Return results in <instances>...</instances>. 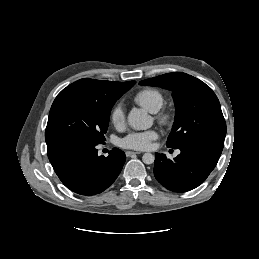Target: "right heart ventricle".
<instances>
[{
    "label": "right heart ventricle",
    "instance_id": "obj_1",
    "mask_svg": "<svg viewBox=\"0 0 259 259\" xmlns=\"http://www.w3.org/2000/svg\"><path fill=\"white\" fill-rule=\"evenodd\" d=\"M134 101L150 112H157L164 104V95L156 88H144L136 93Z\"/></svg>",
    "mask_w": 259,
    "mask_h": 259
}]
</instances>
